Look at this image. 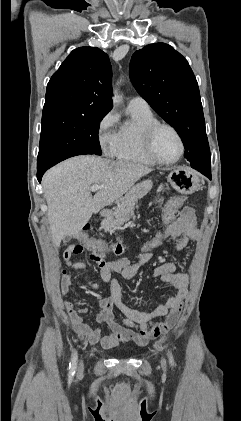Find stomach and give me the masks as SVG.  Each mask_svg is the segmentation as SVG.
Masks as SVG:
<instances>
[{"label":"stomach","mask_w":241,"mask_h":421,"mask_svg":"<svg viewBox=\"0 0 241 421\" xmlns=\"http://www.w3.org/2000/svg\"><path fill=\"white\" fill-rule=\"evenodd\" d=\"M168 181L182 194H191L199 187L198 174L187 167L173 168L168 175Z\"/></svg>","instance_id":"stomach-1"}]
</instances>
